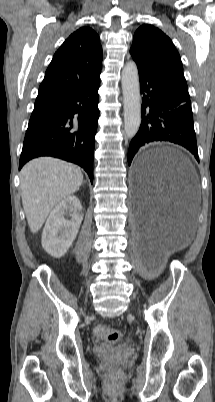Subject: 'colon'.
<instances>
[{"mask_svg": "<svg viewBox=\"0 0 215 402\" xmlns=\"http://www.w3.org/2000/svg\"><path fill=\"white\" fill-rule=\"evenodd\" d=\"M97 337L105 339L110 343H116L121 339V333L117 330L110 329L104 325H97L94 329Z\"/></svg>", "mask_w": 215, "mask_h": 402, "instance_id": "colon-1", "label": "colon"}]
</instances>
